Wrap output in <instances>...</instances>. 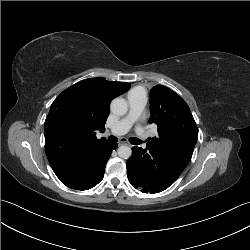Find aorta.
<instances>
[{"label": "aorta", "mask_w": 250, "mask_h": 250, "mask_svg": "<svg viewBox=\"0 0 250 250\" xmlns=\"http://www.w3.org/2000/svg\"><path fill=\"white\" fill-rule=\"evenodd\" d=\"M111 111L116 115H124L128 111V105L124 98L117 97L112 100L110 104ZM132 150L128 146H120L118 148V155L122 159H128L131 157Z\"/></svg>", "instance_id": "1"}]
</instances>
